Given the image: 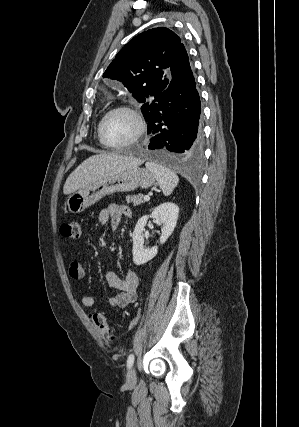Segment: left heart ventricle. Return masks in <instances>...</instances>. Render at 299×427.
I'll list each match as a JSON object with an SVG mask.
<instances>
[{"label": "left heart ventricle", "instance_id": "left-heart-ventricle-1", "mask_svg": "<svg viewBox=\"0 0 299 427\" xmlns=\"http://www.w3.org/2000/svg\"><path fill=\"white\" fill-rule=\"evenodd\" d=\"M136 132L134 119L125 112L110 115L103 125V137L109 144H123L129 141Z\"/></svg>", "mask_w": 299, "mask_h": 427}]
</instances>
